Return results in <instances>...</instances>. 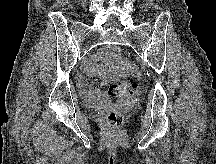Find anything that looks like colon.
Masks as SVG:
<instances>
[{
	"mask_svg": "<svg viewBox=\"0 0 216 164\" xmlns=\"http://www.w3.org/2000/svg\"><path fill=\"white\" fill-rule=\"evenodd\" d=\"M108 92L111 97L128 100L135 97L138 86L133 81H119L108 84ZM105 121L112 128L119 127L123 122V115L117 107H111L105 112Z\"/></svg>",
	"mask_w": 216,
	"mask_h": 164,
	"instance_id": "colon-1",
	"label": "colon"
}]
</instances>
